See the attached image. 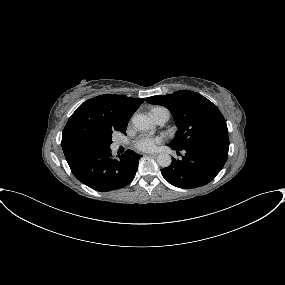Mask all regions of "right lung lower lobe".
<instances>
[{"mask_svg":"<svg viewBox=\"0 0 285 285\" xmlns=\"http://www.w3.org/2000/svg\"><path fill=\"white\" fill-rule=\"evenodd\" d=\"M141 157L127 150L115 159L110 147H101L78 154L68 165L83 184L96 191L107 192L123 188L134 179Z\"/></svg>","mask_w":285,"mask_h":285,"instance_id":"98d812e1","label":"right lung lower lobe"}]
</instances>
